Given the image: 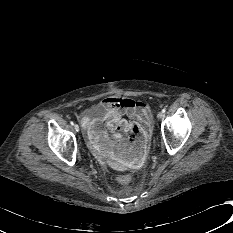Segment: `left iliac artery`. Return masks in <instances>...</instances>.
<instances>
[{"mask_svg": "<svg viewBox=\"0 0 233 233\" xmlns=\"http://www.w3.org/2000/svg\"><path fill=\"white\" fill-rule=\"evenodd\" d=\"M165 111H166L165 108H163V109H162V113H165Z\"/></svg>", "mask_w": 233, "mask_h": 233, "instance_id": "left-iliac-artery-1", "label": "left iliac artery"}]
</instances>
